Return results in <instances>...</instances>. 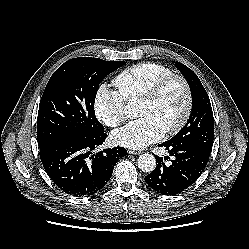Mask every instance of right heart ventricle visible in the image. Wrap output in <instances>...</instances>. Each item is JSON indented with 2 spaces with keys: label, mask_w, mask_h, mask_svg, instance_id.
I'll use <instances>...</instances> for the list:
<instances>
[{
  "label": "right heart ventricle",
  "mask_w": 249,
  "mask_h": 249,
  "mask_svg": "<svg viewBox=\"0 0 249 249\" xmlns=\"http://www.w3.org/2000/svg\"><path fill=\"white\" fill-rule=\"evenodd\" d=\"M172 73L170 68L158 63H139L119 73L113 83L124 101L131 100L141 97L157 81Z\"/></svg>",
  "instance_id": "right-heart-ventricle-1"
}]
</instances>
